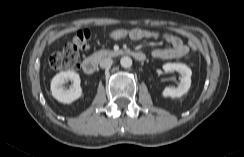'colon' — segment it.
Returning <instances> with one entry per match:
<instances>
[{"label": "colon", "instance_id": "obj_1", "mask_svg": "<svg viewBox=\"0 0 244 157\" xmlns=\"http://www.w3.org/2000/svg\"><path fill=\"white\" fill-rule=\"evenodd\" d=\"M131 30L119 28L112 30L109 36L113 40L129 38ZM91 33L88 30L78 31L62 50L54 52L49 58L50 66L55 70H75L80 64V50L87 49ZM191 50H196V45L190 44Z\"/></svg>", "mask_w": 244, "mask_h": 157}]
</instances>
